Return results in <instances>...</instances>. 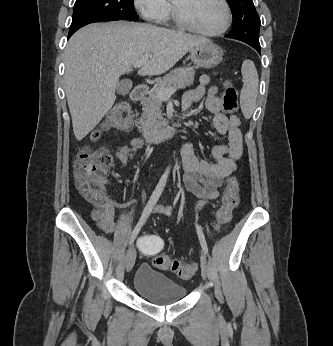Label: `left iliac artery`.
<instances>
[{"mask_svg": "<svg viewBox=\"0 0 333 346\" xmlns=\"http://www.w3.org/2000/svg\"><path fill=\"white\" fill-rule=\"evenodd\" d=\"M196 229H197V233H198V237H199V241H200L201 247H202L204 253L208 254V247H207V243H206L204 234H203L200 226L197 225V224H196Z\"/></svg>", "mask_w": 333, "mask_h": 346, "instance_id": "left-iliac-artery-1", "label": "left iliac artery"}]
</instances>
